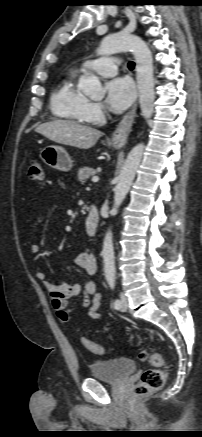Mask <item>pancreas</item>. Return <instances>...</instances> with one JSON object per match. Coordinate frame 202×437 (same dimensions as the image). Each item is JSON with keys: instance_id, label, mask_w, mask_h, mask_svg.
Masks as SVG:
<instances>
[{"instance_id": "cf45deb5", "label": "pancreas", "mask_w": 202, "mask_h": 437, "mask_svg": "<svg viewBox=\"0 0 202 437\" xmlns=\"http://www.w3.org/2000/svg\"><path fill=\"white\" fill-rule=\"evenodd\" d=\"M95 174H96V170H94L93 168H90V167L79 168L78 180L81 183H84V182H86V180H88L90 178V176H93Z\"/></svg>"}]
</instances>
